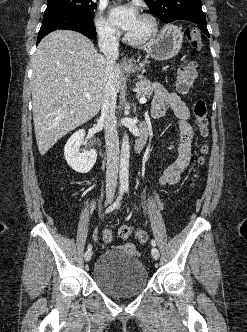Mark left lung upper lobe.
<instances>
[{
    "label": "left lung upper lobe",
    "mask_w": 247,
    "mask_h": 332,
    "mask_svg": "<svg viewBox=\"0 0 247 332\" xmlns=\"http://www.w3.org/2000/svg\"><path fill=\"white\" fill-rule=\"evenodd\" d=\"M149 9L157 17L171 23L185 20L192 24L198 20H206L201 7V0H144Z\"/></svg>",
    "instance_id": "1"
}]
</instances>
